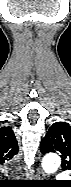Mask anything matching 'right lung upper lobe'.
Listing matches in <instances>:
<instances>
[{"label": "right lung upper lobe", "mask_w": 71, "mask_h": 187, "mask_svg": "<svg viewBox=\"0 0 71 187\" xmlns=\"http://www.w3.org/2000/svg\"><path fill=\"white\" fill-rule=\"evenodd\" d=\"M18 152V144L11 127L0 128V157L8 162Z\"/></svg>", "instance_id": "obj_1"}]
</instances>
